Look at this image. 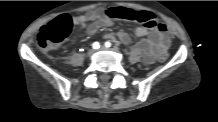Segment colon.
<instances>
[{
	"mask_svg": "<svg viewBox=\"0 0 218 122\" xmlns=\"http://www.w3.org/2000/svg\"><path fill=\"white\" fill-rule=\"evenodd\" d=\"M107 14L112 18L135 21L147 28H161L157 17L148 11H135L129 8H109ZM72 20L68 15H62L43 26L38 35L37 43L42 49H51L62 42L70 33ZM172 57L171 51H165L164 54L156 55L157 63H165Z\"/></svg>",
	"mask_w": 218,
	"mask_h": 122,
	"instance_id": "colon-1",
	"label": "colon"
}]
</instances>
